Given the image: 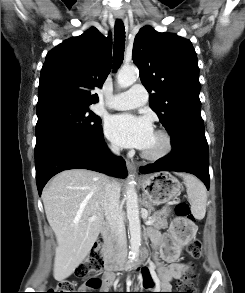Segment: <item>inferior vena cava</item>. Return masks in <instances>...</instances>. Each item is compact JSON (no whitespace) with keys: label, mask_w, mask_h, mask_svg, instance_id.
<instances>
[{"label":"inferior vena cava","mask_w":245,"mask_h":293,"mask_svg":"<svg viewBox=\"0 0 245 293\" xmlns=\"http://www.w3.org/2000/svg\"><path fill=\"white\" fill-rule=\"evenodd\" d=\"M111 151L119 155V148L113 146ZM120 191L121 187L115 180L109 181L104 195L105 217L111 229L112 237L116 244L119 254L126 255L127 239L124 225V216L120 207Z\"/></svg>","instance_id":"1"}]
</instances>
